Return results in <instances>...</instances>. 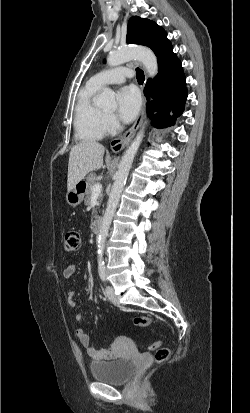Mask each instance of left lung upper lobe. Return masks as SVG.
Returning a JSON list of instances; mask_svg holds the SVG:
<instances>
[{
	"instance_id": "left-lung-upper-lobe-1",
	"label": "left lung upper lobe",
	"mask_w": 250,
	"mask_h": 413,
	"mask_svg": "<svg viewBox=\"0 0 250 413\" xmlns=\"http://www.w3.org/2000/svg\"><path fill=\"white\" fill-rule=\"evenodd\" d=\"M126 41L128 44L145 45L153 51L161 50L170 43L163 28L138 16L131 17L128 22Z\"/></svg>"
}]
</instances>
